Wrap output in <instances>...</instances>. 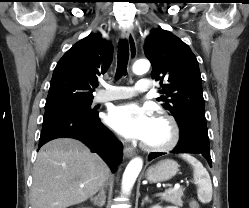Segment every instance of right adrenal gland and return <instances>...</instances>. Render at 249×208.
<instances>
[{
    "label": "right adrenal gland",
    "mask_w": 249,
    "mask_h": 208,
    "mask_svg": "<svg viewBox=\"0 0 249 208\" xmlns=\"http://www.w3.org/2000/svg\"><path fill=\"white\" fill-rule=\"evenodd\" d=\"M94 205H97L99 207H102L105 204L106 195L104 189L101 190V196L100 197H93L90 199Z\"/></svg>",
    "instance_id": "right-adrenal-gland-1"
}]
</instances>
